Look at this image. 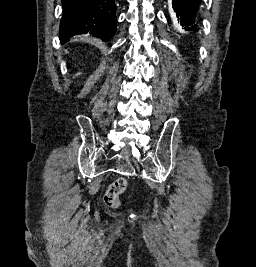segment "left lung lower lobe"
Instances as JSON below:
<instances>
[{
	"mask_svg": "<svg viewBox=\"0 0 256 267\" xmlns=\"http://www.w3.org/2000/svg\"><path fill=\"white\" fill-rule=\"evenodd\" d=\"M202 0H173V8L185 30L199 29V4Z\"/></svg>",
	"mask_w": 256,
	"mask_h": 267,
	"instance_id": "1",
	"label": "left lung lower lobe"
}]
</instances>
